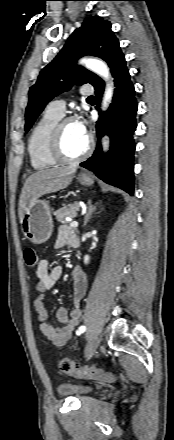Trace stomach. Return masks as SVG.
Wrapping results in <instances>:
<instances>
[{
  "instance_id": "1",
  "label": "stomach",
  "mask_w": 174,
  "mask_h": 440,
  "mask_svg": "<svg viewBox=\"0 0 174 440\" xmlns=\"http://www.w3.org/2000/svg\"><path fill=\"white\" fill-rule=\"evenodd\" d=\"M80 184L91 186L94 181L88 174H81L77 177ZM24 236L34 244L46 242L53 231L51 209L48 201L37 199L35 203L25 211L22 220Z\"/></svg>"
}]
</instances>
